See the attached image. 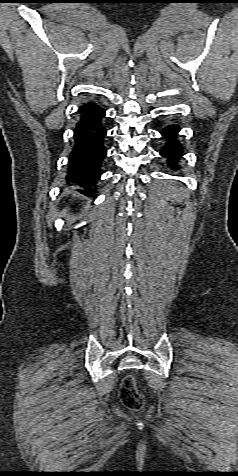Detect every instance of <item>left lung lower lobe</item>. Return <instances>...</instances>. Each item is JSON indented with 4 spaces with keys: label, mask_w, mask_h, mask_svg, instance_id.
<instances>
[{
    "label": "left lung lower lobe",
    "mask_w": 238,
    "mask_h": 476,
    "mask_svg": "<svg viewBox=\"0 0 238 476\" xmlns=\"http://www.w3.org/2000/svg\"><path fill=\"white\" fill-rule=\"evenodd\" d=\"M179 132L180 127L176 124L168 125L161 131L165 144L160 154L167 158V165L173 170L180 168L178 162L183 154V147L178 140Z\"/></svg>",
    "instance_id": "0a47b994"
}]
</instances>
